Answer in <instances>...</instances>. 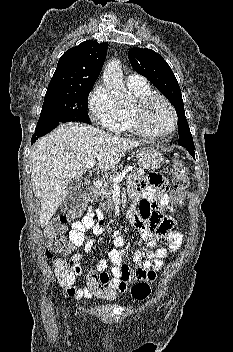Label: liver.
<instances>
[{"label": "liver", "instance_id": "1", "mask_svg": "<svg viewBox=\"0 0 233 352\" xmlns=\"http://www.w3.org/2000/svg\"><path fill=\"white\" fill-rule=\"evenodd\" d=\"M141 144L112 136L82 123L59 125L41 138L31 153V182L41 202L40 225L45 227L68 194L73 179L87 170L86 162L97 158L98 168L113 169L127 151Z\"/></svg>", "mask_w": 233, "mask_h": 352}]
</instances>
